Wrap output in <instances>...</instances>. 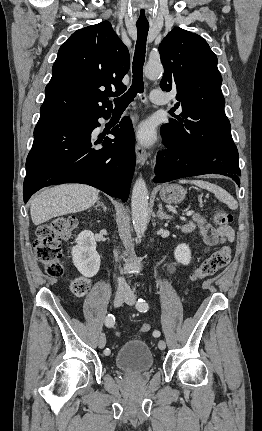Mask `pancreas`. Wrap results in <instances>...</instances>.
<instances>
[{
	"instance_id": "obj_1",
	"label": "pancreas",
	"mask_w": 262,
	"mask_h": 431,
	"mask_svg": "<svg viewBox=\"0 0 262 431\" xmlns=\"http://www.w3.org/2000/svg\"><path fill=\"white\" fill-rule=\"evenodd\" d=\"M193 221L199 223L200 222L199 217L197 215L193 216Z\"/></svg>"
}]
</instances>
